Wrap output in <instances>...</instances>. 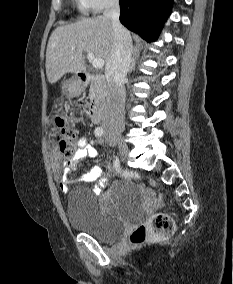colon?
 I'll return each instance as SVG.
<instances>
[{"label": "colon", "mask_w": 233, "mask_h": 284, "mask_svg": "<svg viewBox=\"0 0 233 284\" xmlns=\"http://www.w3.org/2000/svg\"><path fill=\"white\" fill-rule=\"evenodd\" d=\"M78 105L85 106L87 101L84 99H79L76 102ZM55 123L57 127L61 130V135L58 136V142L60 150L65 155H71L76 149V133L75 130L69 127L63 117H56ZM116 171L126 178H136L137 174L116 168ZM174 230L173 219L163 213H158L153 215L147 222L138 226L130 235V244L132 246H137L145 242L147 239H166L168 238Z\"/></svg>", "instance_id": "obj_1"}]
</instances>
